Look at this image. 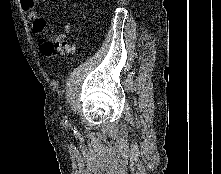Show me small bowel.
Here are the masks:
<instances>
[{
  "label": "small bowel",
  "instance_id": "1",
  "mask_svg": "<svg viewBox=\"0 0 221 174\" xmlns=\"http://www.w3.org/2000/svg\"><path fill=\"white\" fill-rule=\"evenodd\" d=\"M37 0H21V4L27 13L29 20L33 22V30L37 35H42L45 29V19L39 17L35 6ZM71 31L69 24H64L62 31L57 34L53 41L45 39L40 43V52L46 56L51 57L54 51H57L60 55L65 56L66 53L73 51L74 46L66 42V38Z\"/></svg>",
  "mask_w": 221,
  "mask_h": 174
}]
</instances>
